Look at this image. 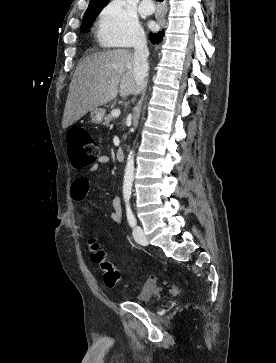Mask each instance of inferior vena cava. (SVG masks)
Masks as SVG:
<instances>
[{
	"label": "inferior vena cava",
	"instance_id": "obj_1",
	"mask_svg": "<svg viewBox=\"0 0 276 363\" xmlns=\"http://www.w3.org/2000/svg\"><path fill=\"white\" fill-rule=\"evenodd\" d=\"M148 57L149 50L147 47L146 38L142 36L136 41L134 45L133 69L137 85L144 83V79L148 75Z\"/></svg>",
	"mask_w": 276,
	"mask_h": 363
}]
</instances>
